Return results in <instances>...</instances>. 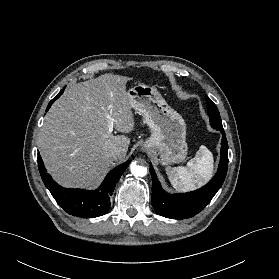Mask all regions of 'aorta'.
<instances>
[{"label": "aorta", "mask_w": 279, "mask_h": 279, "mask_svg": "<svg viewBox=\"0 0 279 279\" xmlns=\"http://www.w3.org/2000/svg\"><path fill=\"white\" fill-rule=\"evenodd\" d=\"M131 173L136 177H143L147 174V168L137 165L136 162H132L130 165Z\"/></svg>", "instance_id": "obj_1"}]
</instances>
